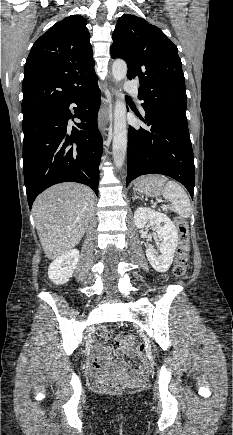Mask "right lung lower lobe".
Listing matches in <instances>:
<instances>
[{
    "label": "right lung lower lobe",
    "instance_id": "obj_1",
    "mask_svg": "<svg viewBox=\"0 0 233 435\" xmlns=\"http://www.w3.org/2000/svg\"><path fill=\"white\" fill-rule=\"evenodd\" d=\"M76 103L78 113L69 106ZM100 90L97 76L64 102L23 120V168L29 208L46 188L61 182L88 185L98 196L99 164L103 152L97 127ZM77 112V110H75ZM81 123L72 128L68 120Z\"/></svg>",
    "mask_w": 233,
    "mask_h": 435
}]
</instances>
